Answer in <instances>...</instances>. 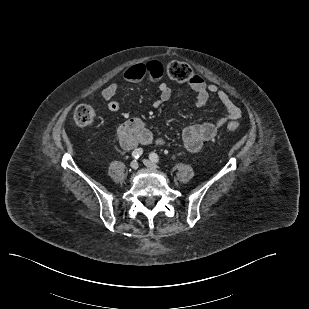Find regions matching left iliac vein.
Listing matches in <instances>:
<instances>
[{
    "label": "left iliac vein",
    "mask_w": 309,
    "mask_h": 309,
    "mask_svg": "<svg viewBox=\"0 0 309 309\" xmlns=\"http://www.w3.org/2000/svg\"><path fill=\"white\" fill-rule=\"evenodd\" d=\"M143 163H144V165H145L147 168H149V169H152V170H156V169H157L156 164H154L153 162H151V161H149V160H147V159H144V160H143Z\"/></svg>",
    "instance_id": "left-iliac-vein-1"
}]
</instances>
